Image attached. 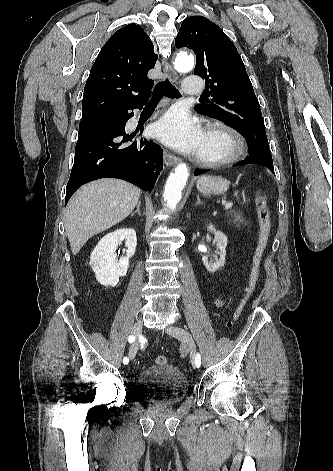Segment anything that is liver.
I'll return each mask as SVG.
<instances>
[{"label":"liver","mask_w":333,"mask_h":471,"mask_svg":"<svg viewBox=\"0 0 333 471\" xmlns=\"http://www.w3.org/2000/svg\"><path fill=\"white\" fill-rule=\"evenodd\" d=\"M140 189L123 180L102 178L82 186L68 203L65 230L76 255L92 236L124 220L134 210Z\"/></svg>","instance_id":"liver-1"}]
</instances>
